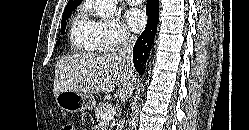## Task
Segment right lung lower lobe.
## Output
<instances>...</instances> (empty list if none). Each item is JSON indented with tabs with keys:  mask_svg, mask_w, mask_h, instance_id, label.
<instances>
[{
	"mask_svg": "<svg viewBox=\"0 0 249 130\" xmlns=\"http://www.w3.org/2000/svg\"><path fill=\"white\" fill-rule=\"evenodd\" d=\"M147 25L133 47V62L139 74H144L145 65L154 41L159 18V1L147 0Z\"/></svg>",
	"mask_w": 249,
	"mask_h": 130,
	"instance_id": "right-lung-lower-lobe-1",
	"label": "right lung lower lobe"
}]
</instances>
